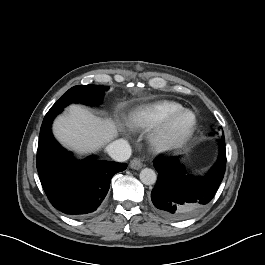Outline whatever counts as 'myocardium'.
Listing matches in <instances>:
<instances>
[{
    "label": "myocardium",
    "mask_w": 265,
    "mask_h": 265,
    "mask_svg": "<svg viewBox=\"0 0 265 265\" xmlns=\"http://www.w3.org/2000/svg\"><path fill=\"white\" fill-rule=\"evenodd\" d=\"M185 114H191L193 121L188 129L180 131L177 127V121ZM197 123L196 114L190 109L182 108L166 117L155 129L152 134L153 145L158 150H169L180 147L192 137L196 131Z\"/></svg>",
    "instance_id": "myocardium-1"
}]
</instances>
